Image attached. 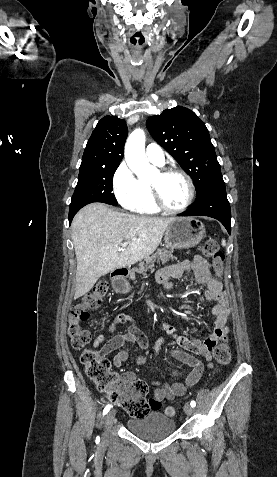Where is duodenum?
Instances as JSON below:
<instances>
[{
	"label": "duodenum",
	"mask_w": 277,
	"mask_h": 477,
	"mask_svg": "<svg viewBox=\"0 0 277 477\" xmlns=\"http://www.w3.org/2000/svg\"><path fill=\"white\" fill-rule=\"evenodd\" d=\"M128 273V270L125 268H119L113 271L112 277L118 288H122V283L127 278Z\"/></svg>",
	"instance_id": "duodenum-1"
}]
</instances>
